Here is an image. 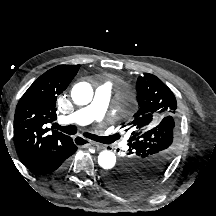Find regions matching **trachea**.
<instances>
[{
	"label": "trachea",
	"instance_id": "1",
	"mask_svg": "<svg viewBox=\"0 0 216 216\" xmlns=\"http://www.w3.org/2000/svg\"><path fill=\"white\" fill-rule=\"evenodd\" d=\"M53 127L66 133V134H69V135H74L77 133V127L74 126V125H69V126H60L58 125L57 123H54L53 124ZM85 137L91 139V140H94V141H97V142H100V143H110L111 142V139L110 137H100V136H97V135H94V134H91V133H84L83 134ZM78 145H82L80 143H77Z\"/></svg>",
	"mask_w": 216,
	"mask_h": 216
}]
</instances>
